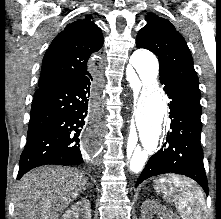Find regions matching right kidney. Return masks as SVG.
Wrapping results in <instances>:
<instances>
[{
  "mask_svg": "<svg viewBox=\"0 0 221 219\" xmlns=\"http://www.w3.org/2000/svg\"><path fill=\"white\" fill-rule=\"evenodd\" d=\"M61 219H91L90 203L82 199L65 211Z\"/></svg>",
  "mask_w": 221,
  "mask_h": 219,
  "instance_id": "right-kidney-1",
  "label": "right kidney"
}]
</instances>
